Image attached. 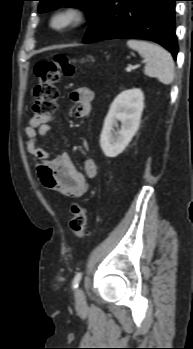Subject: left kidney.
<instances>
[{"label": "left kidney", "mask_w": 193, "mask_h": 349, "mask_svg": "<svg viewBox=\"0 0 193 349\" xmlns=\"http://www.w3.org/2000/svg\"><path fill=\"white\" fill-rule=\"evenodd\" d=\"M143 108L144 95L138 88L122 91L114 99L100 135V146L105 156L114 158L128 146L139 128ZM118 121L122 124L121 128L114 132Z\"/></svg>", "instance_id": "obj_1"}]
</instances>
